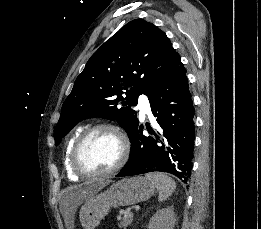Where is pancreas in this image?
Returning <instances> with one entry per match:
<instances>
[{"instance_id": "pancreas-1", "label": "pancreas", "mask_w": 261, "mask_h": 229, "mask_svg": "<svg viewBox=\"0 0 261 229\" xmlns=\"http://www.w3.org/2000/svg\"><path fill=\"white\" fill-rule=\"evenodd\" d=\"M130 215H132V217H124V219H121L120 221V229H127V227H129V225H131L132 221H133V213H130Z\"/></svg>"}]
</instances>
